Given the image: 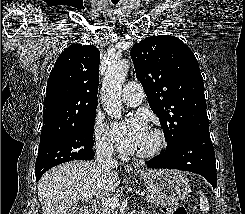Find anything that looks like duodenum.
<instances>
[{"instance_id":"410a0bca","label":"duodenum","mask_w":245,"mask_h":214,"mask_svg":"<svg viewBox=\"0 0 245 214\" xmlns=\"http://www.w3.org/2000/svg\"><path fill=\"white\" fill-rule=\"evenodd\" d=\"M96 208L94 206L84 207L80 214H95Z\"/></svg>"}]
</instances>
